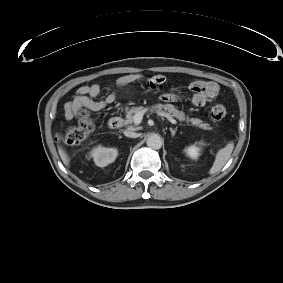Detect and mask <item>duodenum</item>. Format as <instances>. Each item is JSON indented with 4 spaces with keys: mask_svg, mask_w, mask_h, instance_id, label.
<instances>
[{
    "mask_svg": "<svg viewBox=\"0 0 283 283\" xmlns=\"http://www.w3.org/2000/svg\"><path fill=\"white\" fill-rule=\"evenodd\" d=\"M123 124V119L120 116L111 117L108 120V127L112 130H116Z\"/></svg>",
    "mask_w": 283,
    "mask_h": 283,
    "instance_id": "duodenum-1",
    "label": "duodenum"
}]
</instances>
